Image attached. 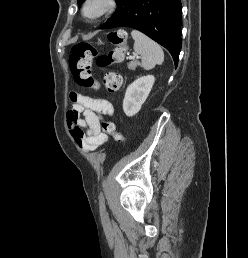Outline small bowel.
<instances>
[{
  "mask_svg": "<svg viewBox=\"0 0 248 258\" xmlns=\"http://www.w3.org/2000/svg\"><path fill=\"white\" fill-rule=\"evenodd\" d=\"M122 81L118 74L112 73ZM74 102L67 116L69 131L77 147L83 152H92L102 147L108 136L102 131L101 121L103 116L113 114L110 101L93 98L79 93H72Z\"/></svg>",
  "mask_w": 248,
  "mask_h": 258,
  "instance_id": "obj_1",
  "label": "small bowel"
}]
</instances>
